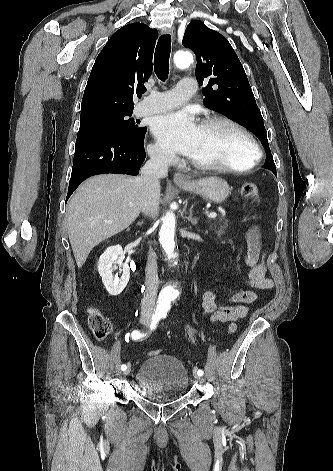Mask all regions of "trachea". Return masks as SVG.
Returning <instances> with one entry per match:
<instances>
[{"instance_id":"3493384b","label":"trachea","mask_w":333,"mask_h":471,"mask_svg":"<svg viewBox=\"0 0 333 471\" xmlns=\"http://www.w3.org/2000/svg\"><path fill=\"white\" fill-rule=\"evenodd\" d=\"M171 52V36L161 35L154 55V71L161 81H165L169 74V58Z\"/></svg>"}]
</instances>
